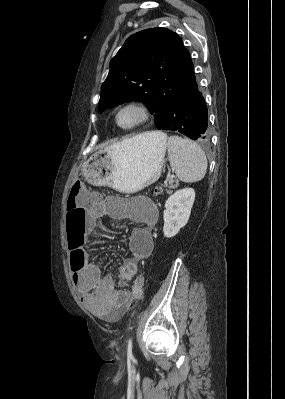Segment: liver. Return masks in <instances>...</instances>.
I'll use <instances>...</instances> for the list:
<instances>
[{
    "label": "liver",
    "mask_w": 285,
    "mask_h": 399,
    "mask_svg": "<svg viewBox=\"0 0 285 399\" xmlns=\"http://www.w3.org/2000/svg\"><path fill=\"white\" fill-rule=\"evenodd\" d=\"M141 135H145V136L150 137V138H155L156 135H157V132H149V133H144V134H141Z\"/></svg>",
    "instance_id": "liver-1"
}]
</instances>
